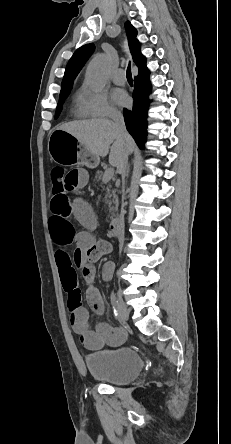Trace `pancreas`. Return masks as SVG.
<instances>
[{
	"label": "pancreas",
	"instance_id": "pancreas-1",
	"mask_svg": "<svg viewBox=\"0 0 231 444\" xmlns=\"http://www.w3.org/2000/svg\"><path fill=\"white\" fill-rule=\"evenodd\" d=\"M102 177H103V172H102V171H98V172L96 173V175H95V179H96L97 181H102ZM112 195H113V197L115 198L114 203H116V202H117V195H116V192L113 191V192H112ZM109 197H111V195H109Z\"/></svg>",
	"mask_w": 231,
	"mask_h": 444
}]
</instances>
